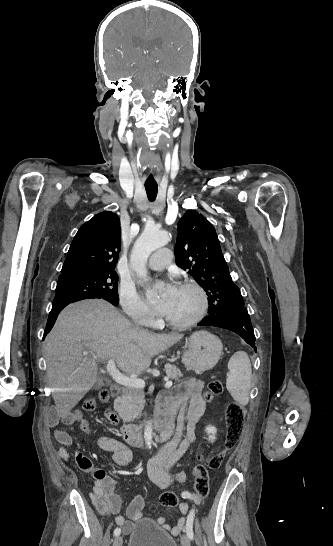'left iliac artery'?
I'll list each match as a JSON object with an SVG mask.
<instances>
[{"label":"left iliac artery","instance_id":"44dca946","mask_svg":"<svg viewBox=\"0 0 333 546\" xmlns=\"http://www.w3.org/2000/svg\"><path fill=\"white\" fill-rule=\"evenodd\" d=\"M186 533L190 537V539H193V515H191L187 520Z\"/></svg>","mask_w":333,"mask_h":546}]
</instances>
